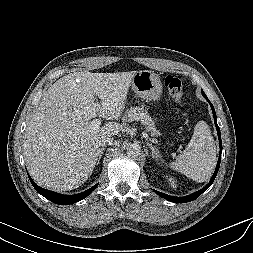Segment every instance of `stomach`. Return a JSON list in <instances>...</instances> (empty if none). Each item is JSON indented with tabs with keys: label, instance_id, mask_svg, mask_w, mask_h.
I'll list each match as a JSON object with an SVG mask.
<instances>
[{
	"label": "stomach",
	"instance_id": "0dacf381",
	"mask_svg": "<svg viewBox=\"0 0 253 253\" xmlns=\"http://www.w3.org/2000/svg\"><path fill=\"white\" fill-rule=\"evenodd\" d=\"M133 91L141 98L159 101L163 86L160 77L153 71H137L131 81Z\"/></svg>",
	"mask_w": 253,
	"mask_h": 253
}]
</instances>
